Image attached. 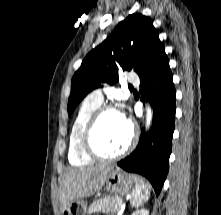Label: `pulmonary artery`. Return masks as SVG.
Segmentation results:
<instances>
[{
	"mask_svg": "<svg viewBox=\"0 0 221 215\" xmlns=\"http://www.w3.org/2000/svg\"><path fill=\"white\" fill-rule=\"evenodd\" d=\"M128 82H130V83H132V84H138V83H139V78H138L136 75H134V74H130V75L128 76ZM90 96H91L92 98L98 100V101H101V102L103 101V95H102V93H101L100 90H95V91H93V92L90 94Z\"/></svg>",
	"mask_w": 221,
	"mask_h": 215,
	"instance_id": "obj_1",
	"label": "pulmonary artery"
}]
</instances>
